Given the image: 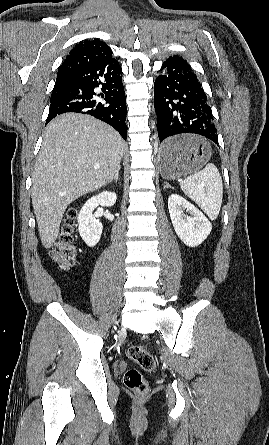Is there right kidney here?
Returning a JSON list of instances; mask_svg holds the SVG:
<instances>
[{"label":"right kidney","instance_id":"ca27d5eb","mask_svg":"<svg viewBox=\"0 0 269 445\" xmlns=\"http://www.w3.org/2000/svg\"><path fill=\"white\" fill-rule=\"evenodd\" d=\"M117 196L115 192L103 191L88 199L78 215V231L81 238L89 247H94L102 234V223L93 215V210L98 206H113Z\"/></svg>","mask_w":269,"mask_h":445}]
</instances>
